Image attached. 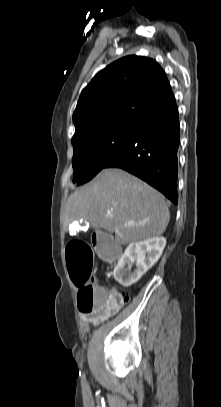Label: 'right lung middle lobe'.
<instances>
[{"label": "right lung middle lobe", "instance_id": "right-lung-middle-lobe-1", "mask_svg": "<svg viewBox=\"0 0 221 407\" xmlns=\"http://www.w3.org/2000/svg\"><path fill=\"white\" fill-rule=\"evenodd\" d=\"M137 124L112 125L93 131L73 142V182L91 180L127 142Z\"/></svg>", "mask_w": 221, "mask_h": 407}]
</instances>
